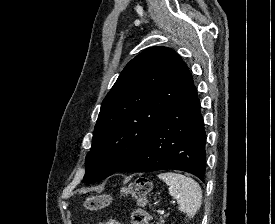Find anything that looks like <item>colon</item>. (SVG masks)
<instances>
[{"instance_id":"1","label":"colon","mask_w":275,"mask_h":224,"mask_svg":"<svg viewBox=\"0 0 275 224\" xmlns=\"http://www.w3.org/2000/svg\"><path fill=\"white\" fill-rule=\"evenodd\" d=\"M151 190L152 183L148 177H138L124 188L123 193L134 198L140 205L132 214L131 224H148L149 214L145 206ZM110 202L111 196L108 194L93 195L87 198L86 207L90 210H99L108 206Z\"/></svg>"}]
</instances>
